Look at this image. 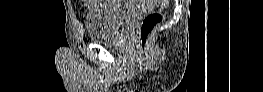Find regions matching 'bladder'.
<instances>
[{
    "instance_id": "1",
    "label": "bladder",
    "mask_w": 263,
    "mask_h": 92,
    "mask_svg": "<svg viewBox=\"0 0 263 92\" xmlns=\"http://www.w3.org/2000/svg\"><path fill=\"white\" fill-rule=\"evenodd\" d=\"M87 13L86 27L91 41L109 46L118 45L136 19L138 12L119 6L118 1H95Z\"/></svg>"
}]
</instances>
